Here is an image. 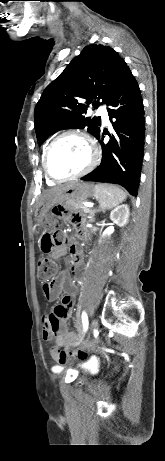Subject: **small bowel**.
Segmentation results:
<instances>
[{"label": "small bowel", "mask_w": 165, "mask_h": 461, "mask_svg": "<svg viewBox=\"0 0 165 461\" xmlns=\"http://www.w3.org/2000/svg\"><path fill=\"white\" fill-rule=\"evenodd\" d=\"M51 217H69V221L81 232V214H77L76 209H70L69 204H55L54 209L50 210ZM66 253L65 246H58L51 252L54 259L61 258ZM71 254L75 259L72 267V274L61 271L55 275L51 281H45L42 284V292L46 299L54 301L62 291L65 295L61 298L60 304L56 305L53 311L43 317V338L46 341L51 340H73L78 341V335L67 328V321L71 318L76 296V284L74 278L79 274V265L81 263V252L76 244L71 246ZM56 312H59L56 313ZM68 350V349H67ZM52 357L60 363H64L67 354H60L58 348L52 349Z\"/></svg>", "instance_id": "c3829d8e"}]
</instances>
